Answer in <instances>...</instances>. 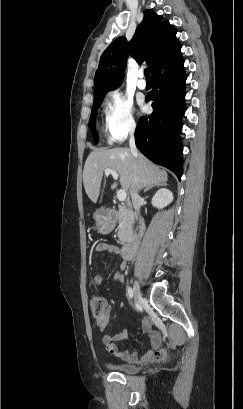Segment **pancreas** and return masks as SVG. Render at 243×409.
Segmentation results:
<instances>
[{
    "label": "pancreas",
    "instance_id": "cf45deb5",
    "mask_svg": "<svg viewBox=\"0 0 243 409\" xmlns=\"http://www.w3.org/2000/svg\"><path fill=\"white\" fill-rule=\"evenodd\" d=\"M118 238L121 244L128 242L133 236V217L125 206H120L118 211Z\"/></svg>",
    "mask_w": 243,
    "mask_h": 409
}]
</instances>
